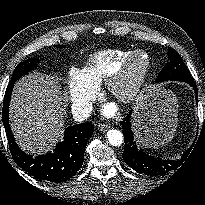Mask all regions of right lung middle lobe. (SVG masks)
<instances>
[{
	"mask_svg": "<svg viewBox=\"0 0 205 205\" xmlns=\"http://www.w3.org/2000/svg\"><path fill=\"white\" fill-rule=\"evenodd\" d=\"M57 47L64 48L65 46L59 45ZM38 63H40V61L37 58L28 59L24 62L19 63L13 72L9 84H14L20 77L26 75L28 72L34 69Z\"/></svg>",
	"mask_w": 205,
	"mask_h": 205,
	"instance_id": "obj_1",
	"label": "right lung middle lobe"
}]
</instances>
